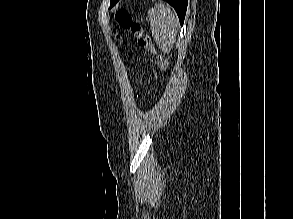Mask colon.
<instances>
[{
	"label": "colon",
	"mask_w": 293,
	"mask_h": 219,
	"mask_svg": "<svg viewBox=\"0 0 293 219\" xmlns=\"http://www.w3.org/2000/svg\"><path fill=\"white\" fill-rule=\"evenodd\" d=\"M115 19L120 28L129 30L136 37L139 46L155 56L159 69L163 72H167V59L157 52L151 36L144 30L141 24L135 21L126 9H119L115 13Z\"/></svg>",
	"instance_id": "5ec220e1"
}]
</instances>
